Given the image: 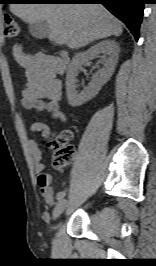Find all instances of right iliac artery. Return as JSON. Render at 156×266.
I'll return each mask as SVG.
<instances>
[{
	"label": "right iliac artery",
	"instance_id": "1",
	"mask_svg": "<svg viewBox=\"0 0 156 266\" xmlns=\"http://www.w3.org/2000/svg\"><path fill=\"white\" fill-rule=\"evenodd\" d=\"M66 195V192L65 191H61L57 194V200L60 201L62 200Z\"/></svg>",
	"mask_w": 156,
	"mask_h": 266
}]
</instances>
